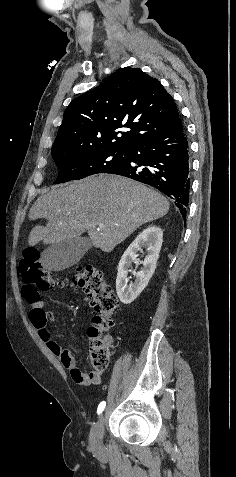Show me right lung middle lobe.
Here are the masks:
<instances>
[{
	"label": "right lung middle lobe",
	"instance_id": "1",
	"mask_svg": "<svg viewBox=\"0 0 236 477\" xmlns=\"http://www.w3.org/2000/svg\"><path fill=\"white\" fill-rule=\"evenodd\" d=\"M55 164L60 168L55 184L79 180L110 170L126 162L125 152L109 149L89 148L71 154L53 156Z\"/></svg>",
	"mask_w": 236,
	"mask_h": 477
}]
</instances>
